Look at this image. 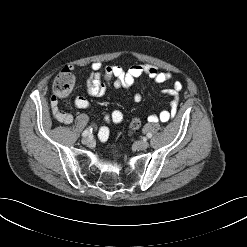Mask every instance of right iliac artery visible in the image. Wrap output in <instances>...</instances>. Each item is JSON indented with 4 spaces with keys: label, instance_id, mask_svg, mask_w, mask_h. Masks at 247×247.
<instances>
[{
    "label": "right iliac artery",
    "instance_id": "82829eb1",
    "mask_svg": "<svg viewBox=\"0 0 247 247\" xmlns=\"http://www.w3.org/2000/svg\"><path fill=\"white\" fill-rule=\"evenodd\" d=\"M92 133V128H87L83 133H82V136L83 137H86V136H88L89 134H91Z\"/></svg>",
    "mask_w": 247,
    "mask_h": 247
}]
</instances>
